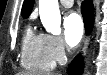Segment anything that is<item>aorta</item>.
<instances>
[{
    "mask_svg": "<svg viewBox=\"0 0 107 75\" xmlns=\"http://www.w3.org/2000/svg\"><path fill=\"white\" fill-rule=\"evenodd\" d=\"M39 14L47 32L53 35L61 33V15L58 0H39Z\"/></svg>",
    "mask_w": 107,
    "mask_h": 75,
    "instance_id": "obj_1",
    "label": "aorta"
}]
</instances>
